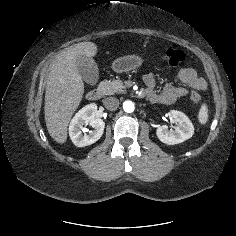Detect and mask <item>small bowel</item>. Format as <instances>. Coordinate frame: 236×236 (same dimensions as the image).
Returning <instances> with one entry per match:
<instances>
[{
  "instance_id": "1",
  "label": "small bowel",
  "mask_w": 236,
  "mask_h": 236,
  "mask_svg": "<svg viewBox=\"0 0 236 236\" xmlns=\"http://www.w3.org/2000/svg\"><path fill=\"white\" fill-rule=\"evenodd\" d=\"M179 79L185 87H175L171 84H166L161 90H156V78L153 73H146L143 76L146 89L144 94L153 103L171 105L178 98L188 94V88L195 90H205L206 82L199 77L196 71L190 67H182L179 70Z\"/></svg>"
}]
</instances>
